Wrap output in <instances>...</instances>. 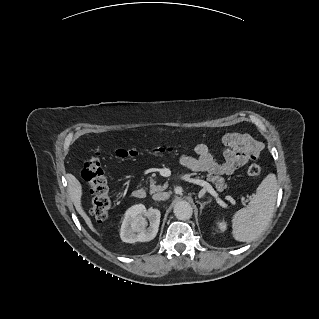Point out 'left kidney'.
Wrapping results in <instances>:
<instances>
[{
    "label": "left kidney",
    "mask_w": 319,
    "mask_h": 319,
    "mask_svg": "<svg viewBox=\"0 0 319 319\" xmlns=\"http://www.w3.org/2000/svg\"><path fill=\"white\" fill-rule=\"evenodd\" d=\"M217 224H218V227H219V229H220L221 231L224 232V231L226 230L227 224H226L225 221H218Z\"/></svg>",
    "instance_id": "obj_1"
}]
</instances>
